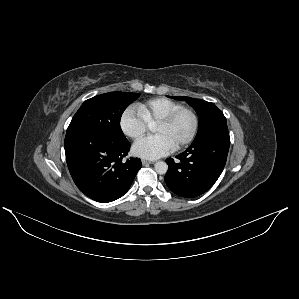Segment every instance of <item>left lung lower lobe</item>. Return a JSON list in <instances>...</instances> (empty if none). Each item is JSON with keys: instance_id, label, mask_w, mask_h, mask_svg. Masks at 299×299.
<instances>
[{"instance_id": "0a47b994", "label": "left lung lower lobe", "mask_w": 299, "mask_h": 299, "mask_svg": "<svg viewBox=\"0 0 299 299\" xmlns=\"http://www.w3.org/2000/svg\"><path fill=\"white\" fill-rule=\"evenodd\" d=\"M230 146L229 132L217 131L193 142L183 153L166 160L168 188L182 197H196L209 190L222 173Z\"/></svg>"}]
</instances>
